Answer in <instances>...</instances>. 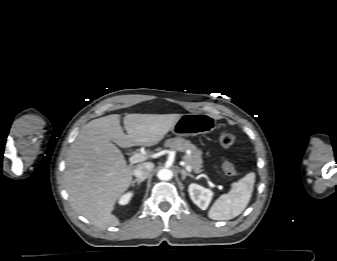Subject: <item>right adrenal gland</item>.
<instances>
[{
	"label": "right adrenal gland",
	"mask_w": 337,
	"mask_h": 261,
	"mask_svg": "<svg viewBox=\"0 0 337 261\" xmlns=\"http://www.w3.org/2000/svg\"><path fill=\"white\" fill-rule=\"evenodd\" d=\"M144 179H135L134 181L131 182V185L134 186L135 183H137L138 185H140L141 182H143Z\"/></svg>",
	"instance_id": "2a0ac1e0"
}]
</instances>
